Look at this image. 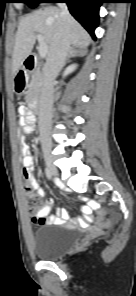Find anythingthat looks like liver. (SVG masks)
Returning a JSON list of instances; mask_svg holds the SVG:
<instances>
[{"instance_id":"liver-1","label":"liver","mask_w":136,"mask_h":296,"mask_svg":"<svg viewBox=\"0 0 136 296\" xmlns=\"http://www.w3.org/2000/svg\"><path fill=\"white\" fill-rule=\"evenodd\" d=\"M62 20L60 9L48 6L23 18L18 26L12 55V72L19 71L25 59L31 54L36 42V34H41L48 46V55L56 45ZM70 43L74 47L85 48L90 36L85 29L70 16Z\"/></svg>"}]
</instances>
